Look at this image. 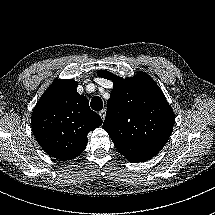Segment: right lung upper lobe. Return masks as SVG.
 I'll return each mask as SVG.
<instances>
[{"label": "right lung upper lobe", "mask_w": 215, "mask_h": 215, "mask_svg": "<svg viewBox=\"0 0 215 215\" xmlns=\"http://www.w3.org/2000/svg\"><path fill=\"white\" fill-rule=\"evenodd\" d=\"M77 82L58 79L43 93L32 117L33 134L43 150L61 161L74 159L85 149L87 134L102 124L80 95Z\"/></svg>", "instance_id": "cb5924a9"}]
</instances>
